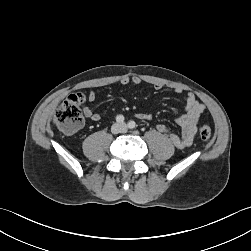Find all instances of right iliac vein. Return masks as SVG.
I'll use <instances>...</instances> for the list:
<instances>
[{
  "label": "right iliac vein",
  "mask_w": 251,
  "mask_h": 251,
  "mask_svg": "<svg viewBox=\"0 0 251 251\" xmlns=\"http://www.w3.org/2000/svg\"><path fill=\"white\" fill-rule=\"evenodd\" d=\"M119 130H120V125H119V124H115V125L112 127V132H113V133H117Z\"/></svg>",
  "instance_id": "right-iliac-vein-1"
}]
</instances>
